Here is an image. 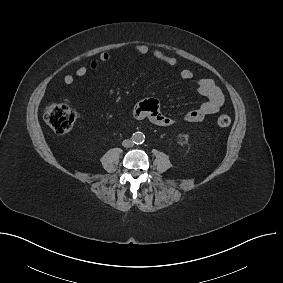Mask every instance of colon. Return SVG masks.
I'll return each instance as SVG.
<instances>
[{
    "mask_svg": "<svg viewBox=\"0 0 283 283\" xmlns=\"http://www.w3.org/2000/svg\"><path fill=\"white\" fill-rule=\"evenodd\" d=\"M44 119L47 124L58 134L68 133L75 122L76 111L67 101L53 102L44 109ZM220 127H228L231 124L230 116L222 114L217 118Z\"/></svg>",
    "mask_w": 283,
    "mask_h": 283,
    "instance_id": "colon-1",
    "label": "colon"
}]
</instances>
